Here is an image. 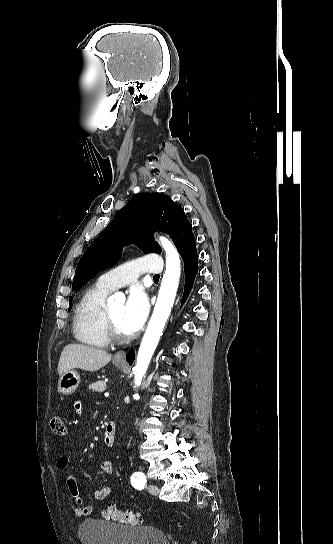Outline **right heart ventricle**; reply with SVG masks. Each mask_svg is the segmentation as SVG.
<instances>
[{"mask_svg":"<svg viewBox=\"0 0 333 544\" xmlns=\"http://www.w3.org/2000/svg\"><path fill=\"white\" fill-rule=\"evenodd\" d=\"M112 290L99 282L87 289L78 301L73 322L76 339L86 345L103 348L109 344L105 322V299Z\"/></svg>","mask_w":333,"mask_h":544,"instance_id":"right-heart-ventricle-1","label":"right heart ventricle"}]
</instances>
